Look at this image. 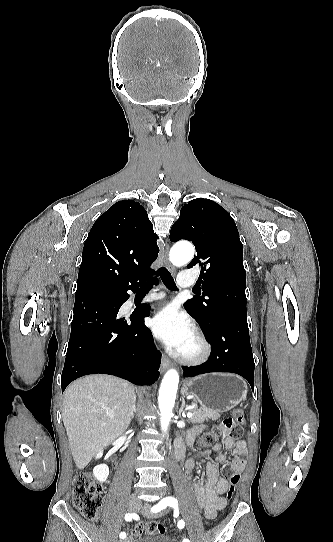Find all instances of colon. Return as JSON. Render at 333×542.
<instances>
[{"label":"colon","mask_w":333,"mask_h":542,"mask_svg":"<svg viewBox=\"0 0 333 542\" xmlns=\"http://www.w3.org/2000/svg\"><path fill=\"white\" fill-rule=\"evenodd\" d=\"M243 431L244 414L241 410H236L231 416L217 422L212 431L204 433L200 437V445L203 448L212 447L220 438L228 439L230 442L238 441L242 437ZM244 466L245 459L237 456L231 466L224 467V473L230 482V486L223 495L225 500L231 499L236 486L240 482ZM102 495L103 485L95 474H78L74 477L72 502L88 519L95 520L99 518ZM142 532L146 536L162 535L164 526L157 521H151L144 525Z\"/></svg>","instance_id":"1"}]
</instances>
